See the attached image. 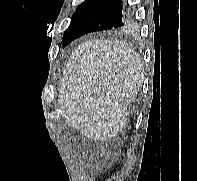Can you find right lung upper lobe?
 Wrapping results in <instances>:
<instances>
[{
  "label": "right lung upper lobe",
  "instance_id": "1",
  "mask_svg": "<svg viewBox=\"0 0 197 181\" xmlns=\"http://www.w3.org/2000/svg\"><path fill=\"white\" fill-rule=\"evenodd\" d=\"M95 1H97V0H86L85 2H83L77 9H79V10H85V9H87L91 4H93ZM126 30V28H119V29H117V31H125Z\"/></svg>",
  "mask_w": 197,
  "mask_h": 181
}]
</instances>
